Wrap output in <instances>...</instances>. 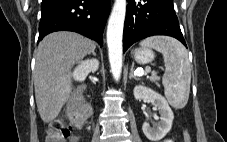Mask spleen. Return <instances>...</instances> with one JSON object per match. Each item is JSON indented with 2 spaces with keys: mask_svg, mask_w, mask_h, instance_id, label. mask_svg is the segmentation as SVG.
<instances>
[{
  "mask_svg": "<svg viewBox=\"0 0 227 142\" xmlns=\"http://www.w3.org/2000/svg\"><path fill=\"white\" fill-rule=\"evenodd\" d=\"M163 54L166 73L162 84L169 103L174 108H183L189 98L191 68L186 48L176 39L166 36H152L140 42Z\"/></svg>",
  "mask_w": 227,
  "mask_h": 142,
  "instance_id": "obj_1",
  "label": "spleen"
}]
</instances>
